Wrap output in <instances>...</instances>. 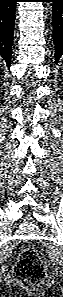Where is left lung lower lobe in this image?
<instances>
[{
  "label": "left lung lower lobe",
  "mask_w": 63,
  "mask_h": 297,
  "mask_svg": "<svg viewBox=\"0 0 63 297\" xmlns=\"http://www.w3.org/2000/svg\"><path fill=\"white\" fill-rule=\"evenodd\" d=\"M52 4L53 38L55 45V62L63 56V0H47Z\"/></svg>",
  "instance_id": "left-lung-lower-lobe-1"
}]
</instances>
